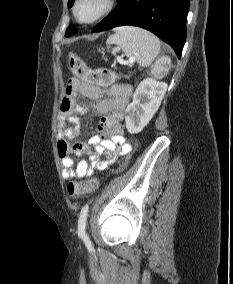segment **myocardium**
<instances>
[{
  "label": "myocardium",
  "instance_id": "f54148a6",
  "mask_svg": "<svg viewBox=\"0 0 233 284\" xmlns=\"http://www.w3.org/2000/svg\"><path fill=\"white\" fill-rule=\"evenodd\" d=\"M82 0H75L72 8L73 16L81 24H93L102 18H104L106 15H108L115 7V0H103V6L101 10L92 18L90 19H83L78 14V7Z\"/></svg>",
  "mask_w": 233,
  "mask_h": 284
}]
</instances>
